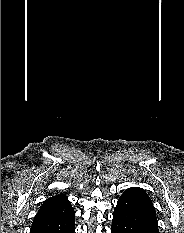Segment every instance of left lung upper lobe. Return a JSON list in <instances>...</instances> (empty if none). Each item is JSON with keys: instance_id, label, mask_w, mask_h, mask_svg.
Wrapping results in <instances>:
<instances>
[{"instance_id": "1", "label": "left lung upper lobe", "mask_w": 184, "mask_h": 233, "mask_svg": "<svg viewBox=\"0 0 184 233\" xmlns=\"http://www.w3.org/2000/svg\"><path fill=\"white\" fill-rule=\"evenodd\" d=\"M128 190L139 192L141 195L145 196L149 201H151L150 197L140 188L134 187V188H129Z\"/></svg>"}]
</instances>
